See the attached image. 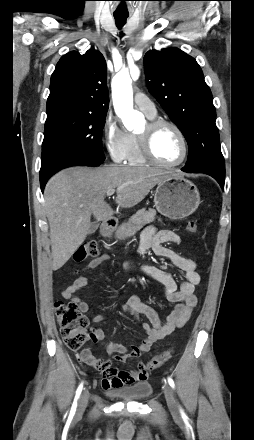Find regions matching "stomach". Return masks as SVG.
I'll list each match as a JSON object with an SVG mask.
<instances>
[{"instance_id":"obj_1","label":"stomach","mask_w":254,"mask_h":440,"mask_svg":"<svg viewBox=\"0 0 254 440\" xmlns=\"http://www.w3.org/2000/svg\"><path fill=\"white\" fill-rule=\"evenodd\" d=\"M157 211L172 220L193 214L200 204L197 187L178 174H170L157 185L154 194ZM120 230V229H119ZM116 232V237L123 238Z\"/></svg>"}]
</instances>
